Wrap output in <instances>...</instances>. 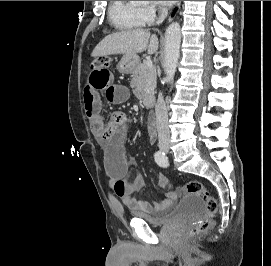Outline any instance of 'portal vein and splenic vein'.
Instances as JSON below:
<instances>
[{
    "label": "portal vein and splenic vein",
    "instance_id": "portal-vein-and-splenic-vein-1",
    "mask_svg": "<svg viewBox=\"0 0 271 266\" xmlns=\"http://www.w3.org/2000/svg\"><path fill=\"white\" fill-rule=\"evenodd\" d=\"M146 64H147L148 67H152L153 66V62L151 60H148Z\"/></svg>",
    "mask_w": 271,
    "mask_h": 266
}]
</instances>
